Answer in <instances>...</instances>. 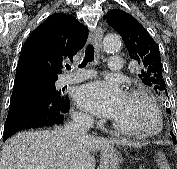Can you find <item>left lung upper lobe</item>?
Segmentation results:
<instances>
[{
  "label": "left lung upper lobe",
  "mask_w": 177,
  "mask_h": 169,
  "mask_svg": "<svg viewBox=\"0 0 177 169\" xmlns=\"http://www.w3.org/2000/svg\"><path fill=\"white\" fill-rule=\"evenodd\" d=\"M122 36L129 56L140 66L139 77L156 94L166 99L167 89L162 73L160 52L157 44L146 29L130 14L121 10H112L104 17ZM172 139H176L170 133Z\"/></svg>",
  "instance_id": "obj_1"
}]
</instances>
